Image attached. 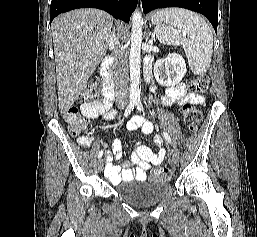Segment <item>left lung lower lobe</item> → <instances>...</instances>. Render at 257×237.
<instances>
[{
  "instance_id": "1",
  "label": "left lung lower lobe",
  "mask_w": 257,
  "mask_h": 237,
  "mask_svg": "<svg viewBox=\"0 0 257 237\" xmlns=\"http://www.w3.org/2000/svg\"><path fill=\"white\" fill-rule=\"evenodd\" d=\"M144 13L166 7H181L203 14L217 31V0H141Z\"/></svg>"
}]
</instances>
